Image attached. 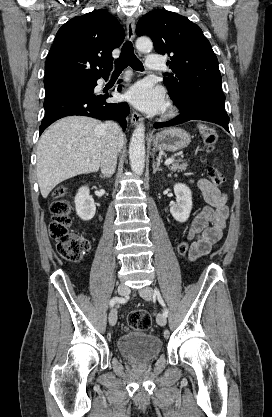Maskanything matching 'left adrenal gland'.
I'll use <instances>...</instances> for the list:
<instances>
[{"mask_svg":"<svg viewBox=\"0 0 272 417\" xmlns=\"http://www.w3.org/2000/svg\"><path fill=\"white\" fill-rule=\"evenodd\" d=\"M152 167H153V173H154V174H155L157 171H162V169L156 165L155 160H153Z\"/></svg>","mask_w":272,"mask_h":417,"instance_id":"1","label":"left adrenal gland"}]
</instances>
